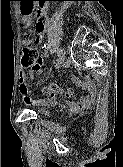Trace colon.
Segmentation results:
<instances>
[{
  "label": "colon",
  "mask_w": 123,
  "mask_h": 167,
  "mask_svg": "<svg viewBox=\"0 0 123 167\" xmlns=\"http://www.w3.org/2000/svg\"><path fill=\"white\" fill-rule=\"evenodd\" d=\"M43 21L40 18L37 22V32L38 34L43 31ZM38 37L33 40L31 37H28L24 41V46L21 50V64L23 66H31L37 68L40 65V58L37 49L34 47V42H37Z\"/></svg>",
  "instance_id": "colon-1"
}]
</instances>
